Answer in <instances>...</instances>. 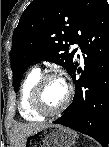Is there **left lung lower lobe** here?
<instances>
[{
    "label": "left lung lower lobe",
    "instance_id": "left-lung-lower-lobe-1",
    "mask_svg": "<svg viewBox=\"0 0 109 147\" xmlns=\"http://www.w3.org/2000/svg\"><path fill=\"white\" fill-rule=\"evenodd\" d=\"M84 71L76 61L71 73L76 92L73 102L54 123L69 127L96 139L102 146L109 143V5L106 2L80 39ZM91 71L102 75V85L94 93L88 90ZM81 73V77L76 75Z\"/></svg>",
    "mask_w": 109,
    "mask_h": 147
}]
</instances>
